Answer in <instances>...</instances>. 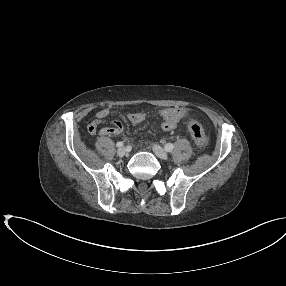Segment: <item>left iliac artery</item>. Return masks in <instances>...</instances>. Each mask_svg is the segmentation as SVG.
Listing matches in <instances>:
<instances>
[{"label":"left iliac artery","instance_id":"obj_1","mask_svg":"<svg viewBox=\"0 0 286 286\" xmlns=\"http://www.w3.org/2000/svg\"><path fill=\"white\" fill-rule=\"evenodd\" d=\"M173 148H174V145H173L172 143H168V144H166V146H165V150H166L167 152H171V151L173 150Z\"/></svg>","mask_w":286,"mask_h":286}]
</instances>
